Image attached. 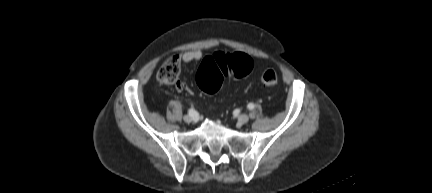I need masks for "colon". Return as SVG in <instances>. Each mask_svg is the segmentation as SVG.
I'll return each instance as SVG.
<instances>
[{
  "instance_id": "5ec220e1",
  "label": "colon",
  "mask_w": 432,
  "mask_h": 193,
  "mask_svg": "<svg viewBox=\"0 0 432 193\" xmlns=\"http://www.w3.org/2000/svg\"><path fill=\"white\" fill-rule=\"evenodd\" d=\"M252 67L253 62L246 54L216 52L202 62L197 73V84L204 92L213 94L219 89L223 77L245 76ZM179 73V58L172 56L162 64L157 77L162 83L173 84L178 80ZM261 82L267 87H273L278 83V76L275 71L266 70L261 76Z\"/></svg>"
}]
</instances>
